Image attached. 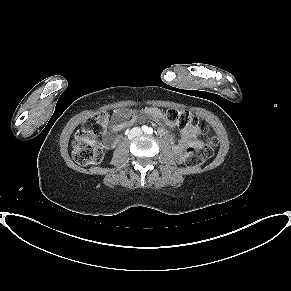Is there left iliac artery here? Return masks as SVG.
Returning <instances> with one entry per match:
<instances>
[{"label": "left iliac artery", "mask_w": 291, "mask_h": 291, "mask_svg": "<svg viewBox=\"0 0 291 291\" xmlns=\"http://www.w3.org/2000/svg\"><path fill=\"white\" fill-rule=\"evenodd\" d=\"M148 133H149V134H152V133H153V129H152V128H149V129H148Z\"/></svg>", "instance_id": "1"}]
</instances>
